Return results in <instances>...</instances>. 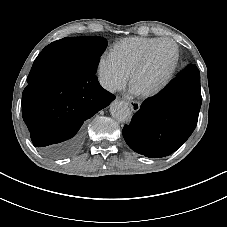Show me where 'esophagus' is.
I'll list each match as a JSON object with an SVG mask.
<instances>
[{
    "label": "esophagus",
    "mask_w": 227,
    "mask_h": 227,
    "mask_svg": "<svg viewBox=\"0 0 227 227\" xmlns=\"http://www.w3.org/2000/svg\"><path fill=\"white\" fill-rule=\"evenodd\" d=\"M127 102L133 112H137L140 109V103L138 101L129 100Z\"/></svg>",
    "instance_id": "34e87169"
}]
</instances>
